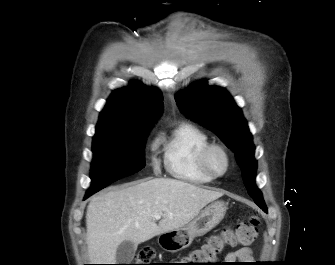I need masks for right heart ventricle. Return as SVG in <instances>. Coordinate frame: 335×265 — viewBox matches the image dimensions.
<instances>
[{"instance_id":"right-heart-ventricle-1","label":"right heart ventricle","mask_w":335,"mask_h":265,"mask_svg":"<svg viewBox=\"0 0 335 265\" xmlns=\"http://www.w3.org/2000/svg\"><path fill=\"white\" fill-rule=\"evenodd\" d=\"M167 172L174 178L196 185L214 180L200 165L204 148L211 144L208 134L191 123H181L160 140Z\"/></svg>"}]
</instances>
